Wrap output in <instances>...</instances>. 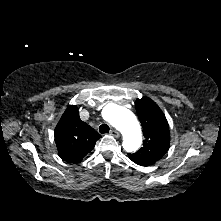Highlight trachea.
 <instances>
[{"label": "trachea", "mask_w": 221, "mask_h": 221, "mask_svg": "<svg viewBox=\"0 0 221 221\" xmlns=\"http://www.w3.org/2000/svg\"><path fill=\"white\" fill-rule=\"evenodd\" d=\"M109 126L107 124H102L100 125L99 127V131L101 134H105V133H108L109 132Z\"/></svg>", "instance_id": "3493384b"}]
</instances>
